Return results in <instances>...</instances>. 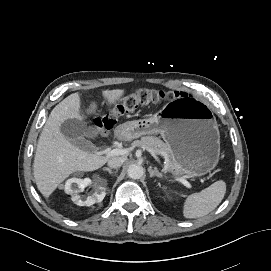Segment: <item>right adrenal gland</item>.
I'll use <instances>...</instances> for the list:
<instances>
[{
  "instance_id": "right-adrenal-gland-1",
  "label": "right adrenal gland",
  "mask_w": 271,
  "mask_h": 271,
  "mask_svg": "<svg viewBox=\"0 0 271 271\" xmlns=\"http://www.w3.org/2000/svg\"><path fill=\"white\" fill-rule=\"evenodd\" d=\"M103 170H104V171H108L109 174H113V173H116V172L118 171V170L112 171L110 168H107V167H104Z\"/></svg>"
}]
</instances>
